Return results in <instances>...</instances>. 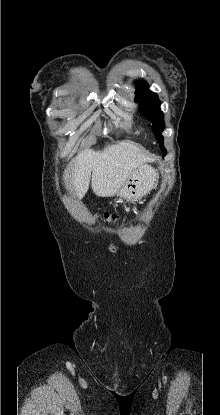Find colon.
<instances>
[{
  "label": "colon",
  "instance_id": "obj_1",
  "mask_svg": "<svg viewBox=\"0 0 220 415\" xmlns=\"http://www.w3.org/2000/svg\"><path fill=\"white\" fill-rule=\"evenodd\" d=\"M105 220H107L108 222H112L117 220L118 216L115 213H106L104 215Z\"/></svg>",
  "mask_w": 220,
  "mask_h": 415
}]
</instances>
